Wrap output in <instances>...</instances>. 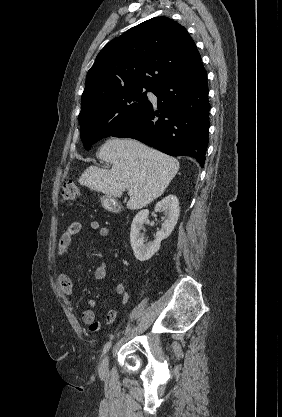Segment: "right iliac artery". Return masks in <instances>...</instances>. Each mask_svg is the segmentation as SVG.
Segmentation results:
<instances>
[{"mask_svg":"<svg viewBox=\"0 0 282 417\" xmlns=\"http://www.w3.org/2000/svg\"><path fill=\"white\" fill-rule=\"evenodd\" d=\"M111 347V341L107 342L103 348L102 356L108 352Z\"/></svg>","mask_w":282,"mask_h":417,"instance_id":"1","label":"right iliac artery"}]
</instances>
